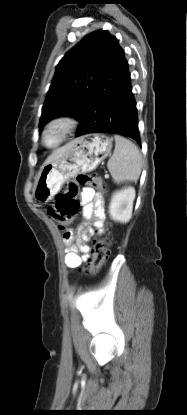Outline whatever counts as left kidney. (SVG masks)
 Masks as SVG:
<instances>
[{
    "mask_svg": "<svg viewBox=\"0 0 187 415\" xmlns=\"http://www.w3.org/2000/svg\"><path fill=\"white\" fill-rule=\"evenodd\" d=\"M135 189L128 187L116 191L111 198L109 206L110 217L117 222L127 223L132 216Z\"/></svg>",
    "mask_w": 187,
    "mask_h": 415,
    "instance_id": "1",
    "label": "left kidney"
}]
</instances>
